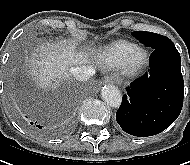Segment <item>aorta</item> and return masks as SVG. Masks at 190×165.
<instances>
[{"label": "aorta", "mask_w": 190, "mask_h": 165, "mask_svg": "<svg viewBox=\"0 0 190 165\" xmlns=\"http://www.w3.org/2000/svg\"><path fill=\"white\" fill-rule=\"evenodd\" d=\"M101 95L103 100L111 107L118 108L121 105L122 96L118 88L114 85H105Z\"/></svg>", "instance_id": "obj_1"}]
</instances>
